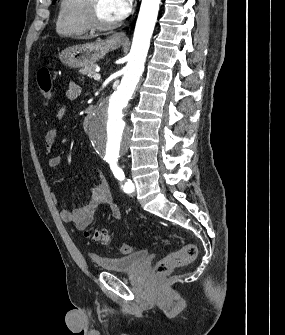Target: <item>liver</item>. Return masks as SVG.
Wrapping results in <instances>:
<instances>
[{
    "instance_id": "6515ba94",
    "label": "liver",
    "mask_w": 285,
    "mask_h": 335,
    "mask_svg": "<svg viewBox=\"0 0 285 335\" xmlns=\"http://www.w3.org/2000/svg\"><path fill=\"white\" fill-rule=\"evenodd\" d=\"M92 36H81L80 40H89Z\"/></svg>"
}]
</instances>
